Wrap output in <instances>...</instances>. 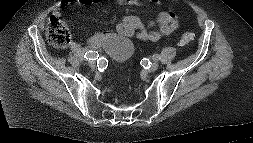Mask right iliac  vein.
Returning <instances> with one entry per match:
<instances>
[{
  "mask_svg": "<svg viewBox=\"0 0 253 143\" xmlns=\"http://www.w3.org/2000/svg\"><path fill=\"white\" fill-rule=\"evenodd\" d=\"M89 66H90L92 69H94V68L96 67V63H95L94 61H91V62L89 63Z\"/></svg>",
  "mask_w": 253,
  "mask_h": 143,
  "instance_id": "obj_1",
  "label": "right iliac vein"
}]
</instances>
